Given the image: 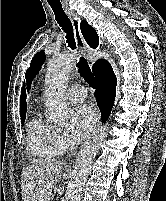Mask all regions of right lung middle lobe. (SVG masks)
Here are the masks:
<instances>
[{
	"mask_svg": "<svg viewBox=\"0 0 166 201\" xmlns=\"http://www.w3.org/2000/svg\"><path fill=\"white\" fill-rule=\"evenodd\" d=\"M24 121H25V117H24V118H21V122H22V124L24 123Z\"/></svg>",
	"mask_w": 166,
	"mask_h": 201,
	"instance_id": "1",
	"label": "right lung middle lobe"
}]
</instances>
